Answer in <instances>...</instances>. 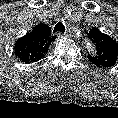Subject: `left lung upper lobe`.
<instances>
[{
	"label": "left lung upper lobe",
	"mask_w": 118,
	"mask_h": 118,
	"mask_svg": "<svg viewBox=\"0 0 118 118\" xmlns=\"http://www.w3.org/2000/svg\"><path fill=\"white\" fill-rule=\"evenodd\" d=\"M89 38L96 46V53L88 54L89 61L101 68L114 66L118 56V43L98 28L89 31Z\"/></svg>",
	"instance_id": "1"
}]
</instances>
